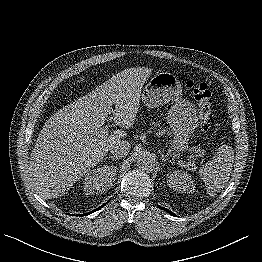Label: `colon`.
<instances>
[{"label": "colon", "instance_id": "5ec220e1", "mask_svg": "<svg viewBox=\"0 0 262 262\" xmlns=\"http://www.w3.org/2000/svg\"><path fill=\"white\" fill-rule=\"evenodd\" d=\"M184 84L192 90L199 107V126L207 134L211 124V92L208 85L197 79H184Z\"/></svg>", "mask_w": 262, "mask_h": 262}]
</instances>
